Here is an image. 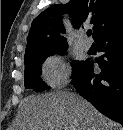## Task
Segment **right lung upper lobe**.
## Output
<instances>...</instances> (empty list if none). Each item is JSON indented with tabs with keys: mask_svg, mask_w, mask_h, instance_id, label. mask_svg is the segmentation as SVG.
Listing matches in <instances>:
<instances>
[{
	"mask_svg": "<svg viewBox=\"0 0 123 130\" xmlns=\"http://www.w3.org/2000/svg\"><path fill=\"white\" fill-rule=\"evenodd\" d=\"M64 12L70 13L77 29L85 21L93 24L94 39L123 25V0H70L65 5H53L33 20L25 58L67 48L61 17Z\"/></svg>",
	"mask_w": 123,
	"mask_h": 130,
	"instance_id": "cb5924a9",
	"label": "right lung upper lobe"
}]
</instances>
